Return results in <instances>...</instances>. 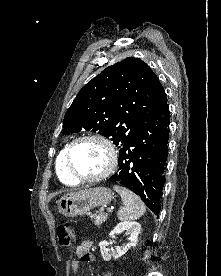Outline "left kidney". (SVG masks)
I'll use <instances>...</instances> for the list:
<instances>
[{"label": "left kidney", "mask_w": 221, "mask_h": 276, "mask_svg": "<svg viewBox=\"0 0 221 276\" xmlns=\"http://www.w3.org/2000/svg\"><path fill=\"white\" fill-rule=\"evenodd\" d=\"M122 231L126 232V235H129V242L122 247H117L116 250L109 252L106 248L109 244L107 241H101L100 251L103 259L105 261L111 260V258L117 259L124 255L132 246H136L138 235L141 231V225L136 221H123L119 223L110 233L109 236L113 237L115 234L120 233Z\"/></svg>", "instance_id": "1"}]
</instances>
